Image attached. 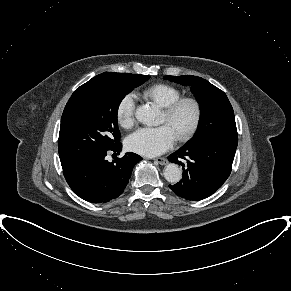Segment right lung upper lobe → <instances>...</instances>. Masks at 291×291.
<instances>
[{
  "label": "right lung upper lobe",
  "mask_w": 291,
  "mask_h": 291,
  "mask_svg": "<svg viewBox=\"0 0 291 291\" xmlns=\"http://www.w3.org/2000/svg\"><path fill=\"white\" fill-rule=\"evenodd\" d=\"M108 74H114V75H130V73H115V72H104L102 75H108Z\"/></svg>",
  "instance_id": "1"
}]
</instances>
